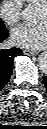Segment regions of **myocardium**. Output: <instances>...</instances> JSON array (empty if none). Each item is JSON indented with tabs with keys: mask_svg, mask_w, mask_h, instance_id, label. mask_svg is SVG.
<instances>
[{
	"mask_svg": "<svg viewBox=\"0 0 47 129\" xmlns=\"http://www.w3.org/2000/svg\"><path fill=\"white\" fill-rule=\"evenodd\" d=\"M46 0H44L40 5L43 6L45 9L47 8V5H46Z\"/></svg>",
	"mask_w": 47,
	"mask_h": 129,
	"instance_id": "myocardium-1",
	"label": "myocardium"
}]
</instances>
